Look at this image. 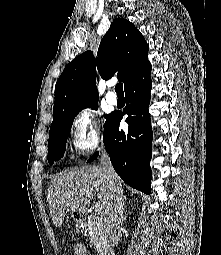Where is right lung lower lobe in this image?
Masks as SVG:
<instances>
[{
	"mask_svg": "<svg viewBox=\"0 0 221 255\" xmlns=\"http://www.w3.org/2000/svg\"><path fill=\"white\" fill-rule=\"evenodd\" d=\"M150 62L125 86L126 107L113 113L105 125L103 141L117 174L131 187L150 193L152 156V127L148 105L152 82ZM124 114L128 131L119 129ZM99 155L95 152L87 162Z\"/></svg>",
	"mask_w": 221,
	"mask_h": 255,
	"instance_id": "obj_1",
	"label": "right lung lower lobe"
}]
</instances>
